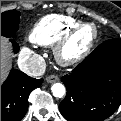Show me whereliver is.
I'll return each instance as SVG.
<instances>
[{
  "instance_id": "6515ba94",
  "label": "liver",
  "mask_w": 121,
  "mask_h": 121,
  "mask_svg": "<svg viewBox=\"0 0 121 121\" xmlns=\"http://www.w3.org/2000/svg\"><path fill=\"white\" fill-rule=\"evenodd\" d=\"M11 49L7 39L1 37V82L5 79L11 66Z\"/></svg>"
}]
</instances>
